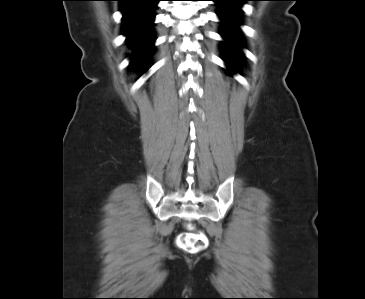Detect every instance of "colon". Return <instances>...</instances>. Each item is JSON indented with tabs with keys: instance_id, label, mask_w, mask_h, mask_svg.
Instances as JSON below:
<instances>
[{
	"instance_id": "1",
	"label": "colon",
	"mask_w": 365,
	"mask_h": 299,
	"mask_svg": "<svg viewBox=\"0 0 365 299\" xmlns=\"http://www.w3.org/2000/svg\"><path fill=\"white\" fill-rule=\"evenodd\" d=\"M188 232L180 235L177 239V244L180 249L191 252L198 253L204 250L208 245V237L205 233L201 231H193V227L187 225Z\"/></svg>"
}]
</instances>
